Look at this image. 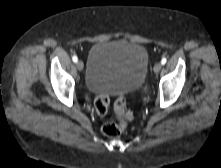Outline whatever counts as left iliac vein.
<instances>
[{
	"label": "left iliac vein",
	"mask_w": 221,
	"mask_h": 168,
	"mask_svg": "<svg viewBox=\"0 0 221 168\" xmlns=\"http://www.w3.org/2000/svg\"><path fill=\"white\" fill-rule=\"evenodd\" d=\"M161 68H162V64L161 63H156L154 65L153 70H154L155 73H158L161 70Z\"/></svg>",
	"instance_id": "4c4485c4"
}]
</instances>
